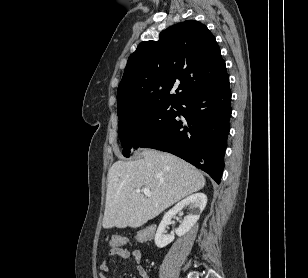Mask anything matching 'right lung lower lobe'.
<instances>
[{
	"label": "right lung lower lobe",
	"instance_id": "obj_1",
	"mask_svg": "<svg viewBox=\"0 0 308 278\" xmlns=\"http://www.w3.org/2000/svg\"><path fill=\"white\" fill-rule=\"evenodd\" d=\"M230 100L228 77L179 102L175 118L140 147L177 155L204 170L219 183L230 130Z\"/></svg>",
	"mask_w": 308,
	"mask_h": 278
}]
</instances>
